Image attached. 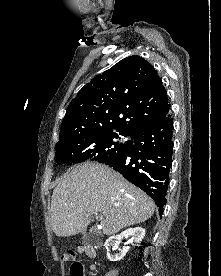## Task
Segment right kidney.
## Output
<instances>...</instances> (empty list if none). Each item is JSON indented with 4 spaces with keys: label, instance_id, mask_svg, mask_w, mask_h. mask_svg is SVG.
Wrapping results in <instances>:
<instances>
[{
    "label": "right kidney",
    "instance_id": "1",
    "mask_svg": "<svg viewBox=\"0 0 221 276\" xmlns=\"http://www.w3.org/2000/svg\"><path fill=\"white\" fill-rule=\"evenodd\" d=\"M145 236V229L142 227L129 228L122 232L120 235L109 237L105 242V247L109 246H118L123 238H130L129 242H134L135 244H139ZM129 250V246H124L119 254L111 255L107 252V257L109 261H119L123 259L126 253Z\"/></svg>",
    "mask_w": 221,
    "mask_h": 276
}]
</instances>
